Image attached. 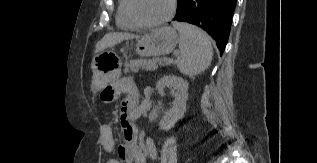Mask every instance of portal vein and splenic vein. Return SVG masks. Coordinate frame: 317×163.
Returning <instances> with one entry per match:
<instances>
[{"instance_id":"18ae733b","label":"portal vein and splenic vein","mask_w":317,"mask_h":163,"mask_svg":"<svg viewBox=\"0 0 317 163\" xmlns=\"http://www.w3.org/2000/svg\"><path fill=\"white\" fill-rule=\"evenodd\" d=\"M166 62H167V63H171L172 61H171V60H166Z\"/></svg>"}]
</instances>
